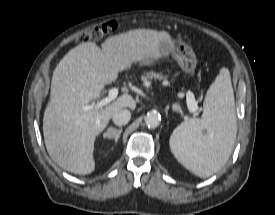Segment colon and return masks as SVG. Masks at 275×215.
<instances>
[{"label":"colon","instance_id":"5ec220e1","mask_svg":"<svg viewBox=\"0 0 275 215\" xmlns=\"http://www.w3.org/2000/svg\"><path fill=\"white\" fill-rule=\"evenodd\" d=\"M118 28V24L116 21L111 20L108 21L101 26L95 27L89 32L83 33L78 37V40L81 42L87 41H98L103 37L114 33Z\"/></svg>","mask_w":275,"mask_h":215}]
</instances>
